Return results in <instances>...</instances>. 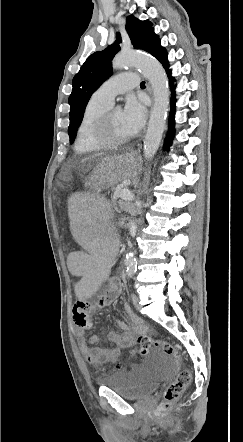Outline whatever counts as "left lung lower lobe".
Here are the masks:
<instances>
[{
	"mask_svg": "<svg viewBox=\"0 0 243 442\" xmlns=\"http://www.w3.org/2000/svg\"><path fill=\"white\" fill-rule=\"evenodd\" d=\"M152 56H154L155 58H157L160 63L163 65V67L165 68L168 77L170 79V85H171V90H172V98H171V113H170V127H169V135L165 140L164 143V149L168 150L169 149V145H170V141L173 137L174 134V114H175V103H176V99H175V85H173V78L171 76V71L169 70V65H168V61H167V53L166 50L160 46V42L158 43V45L155 47V49L153 50V52L151 53Z\"/></svg>",
	"mask_w": 243,
	"mask_h": 442,
	"instance_id": "1",
	"label": "left lung lower lobe"
}]
</instances>
